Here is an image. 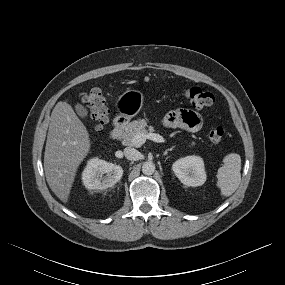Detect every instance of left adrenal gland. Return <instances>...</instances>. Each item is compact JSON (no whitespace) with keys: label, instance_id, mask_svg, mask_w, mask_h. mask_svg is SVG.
Here are the masks:
<instances>
[{"label":"left adrenal gland","instance_id":"1","mask_svg":"<svg viewBox=\"0 0 285 285\" xmlns=\"http://www.w3.org/2000/svg\"><path fill=\"white\" fill-rule=\"evenodd\" d=\"M173 148H174V146H172L171 148H169V149L165 150L164 155H167V153H168L169 151H172V150H173Z\"/></svg>","mask_w":285,"mask_h":285}]
</instances>
